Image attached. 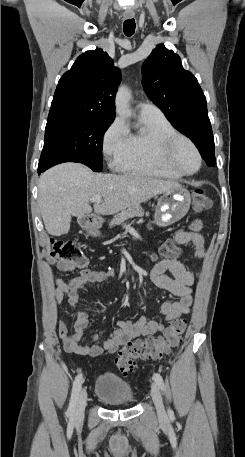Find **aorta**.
<instances>
[{"label": "aorta", "mask_w": 245, "mask_h": 457, "mask_svg": "<svg viewBox=\"0 0 245 457\" xmlns=\"http://www.w3.org/2000/svg\"><path fill=\"white\" fill-rule=\"evenodd\" d=\"M131 92L127 86H121L116 94L115 107L119 116L125 118L131 116L129 101Z\"/></svg>", "instance_id": "762f6f07"}]
</instances>
